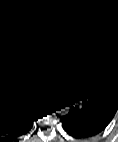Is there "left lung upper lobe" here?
I'll list each match as a JSON object with an SVG mask.
<instances>
[{
	"mask_svg": "<svg viewBox=\"0 0 118 142\" xmlns=\"http://www.w3.org/2000/svg\"><path fill=\"white\" fill-rule=\"evenodd\" d=\"M67 59L82 101V106L71 112L100 132L118 110V73L108 60L92 49L68 51Z\"/></svg>",
	"mask_w": 118,
	"mask_h": 142,
	"instance_id": "5c2ea615",
	"label": "left lung upper lobe"
}]
</instances>
